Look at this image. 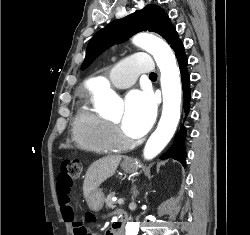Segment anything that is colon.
I'll use <instances>...</instances> for the list:
<instances>
[{
  "mask_svg": "<svg viewBox=\"0 0 250 235\" xmlns=\"http://www.w3.org/2000/svg\"><path fill=\"white\" fill-rule=\"evenodd\" d=\"M82 172V164L78 159H66L60 165L57 185L64 192H70L74 182L80 177ZM96 220L95 217L92 219ZM75 235H91L83 223H74Z\"/></svg>",
  "mask_w": 250,
  "mask_h": 235,
  "instance_id": "colon-1",
  "label": "colon"
}]
</instances>
